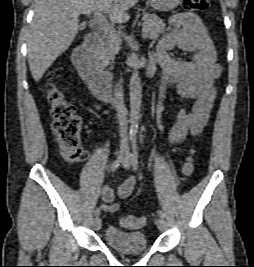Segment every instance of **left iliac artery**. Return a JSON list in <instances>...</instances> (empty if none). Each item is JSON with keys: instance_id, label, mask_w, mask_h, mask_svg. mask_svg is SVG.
<instances>
[{"instance_id": "1", "label": "left iliac artery", "mask_w": 254, "mask_h": 267, "mask_svg": "<svg viewBox=\"0 0 254 267\" xmlns=\"http://www.w3.org/2000/svg\"><path fill=\"white\" fill-rule=\"evenodd\" d=\"M138 157H139L138 147H137L136 141H134L133 147H132V153H131V164L134 170H138ZM158 215L162 218L165 217L162 210H158Z\"/></svg>"}]
</instances>
